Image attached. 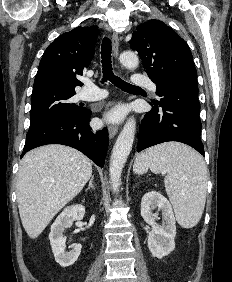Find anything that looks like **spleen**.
<instances>
[{
	"mask_svg": "<svg viewBox=\"0 0 232 282\" xmlns=\"http://www.w3.org/2000/svg\"><path fill=\"white\" fill-rule=\"evenodd\" d=\"M148 169L167 173L164 183L176 220L184 228L194 227L206 202L207 168L203 158L183 144L165 143L136 157L134 172L143 174Z\"/></svg>",
	"mask_w": 232,
	"mask_h": 282,
	"instance_id": "obj_1",
	"label": "spleen"
}]
</instances>
